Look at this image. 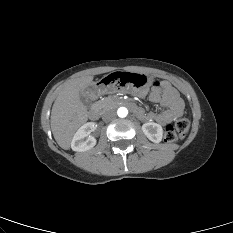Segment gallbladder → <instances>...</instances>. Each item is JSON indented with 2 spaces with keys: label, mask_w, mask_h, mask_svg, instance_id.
I'll use <instances>...</instances> for the list:
<instances>
[{
  "label": "gallbladder",
  "mask_w": 233,
  "mask_h": 233,
  "mask_svg": "<svg viewBox=\"0 0 233 233\" xmlns=\"http://www.w3.org/2000/svg\"><path fill=\"white\" fill-rule=\"evenodd\" d=\"M80 100L87 108L91 107L92 100L89 97H87L85 94L83 93L80 94Z\"/></svg>",
  "instance_id": "bac80fb5"
}]
</instances>
